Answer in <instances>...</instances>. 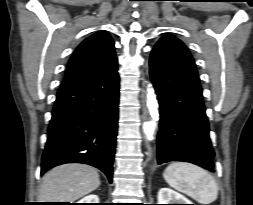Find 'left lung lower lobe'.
I'll return each instance as SVG.
<instances>
[{"instance_id":"1","label":"left lung lower lobe","mask_w":253,"mask_h":205,"mask_svg":"<svg viewBox=\"0 0 253 205\" xmlns=\"http://www.w3.org/2000/svg\"><path fill=\"white\" fill-rule=\"evenodd\" d=\"M150 76L158 95V164L184 161L214 169L202 87L193 57L172 35L163 36L150 56Z\"/></svg>"}]
</instances>
